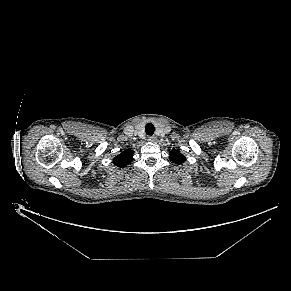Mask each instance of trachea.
<instances>
[{
  "instance_id": "trachea-1",
  "label": "trachea",
  "mask_w": 291,
  "mask_h": 291,
  "mask_svg": "<svg viewBox=\"0 0 291 291\" xmlns=\"http://www.w3.org/2000/svg\"><path fill=\"white\" fill-rule=\"evenodd\" d=\"M145 131L147 135L152 136L155 131L154 125L152 123H147L145 126Z\"/></svg>"
}]
</instances>
